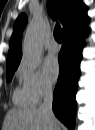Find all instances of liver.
Returning <instances> with one entry per match:
<instances>
[{
  "mask_svg": "<svg viewBox=\"0 0 95 130\" xmlns=\"http://www.w3.org/2000/svg\"><path fill=\"white\" fill-rule=\"evenodd\" d=\"M3 130H60L55 118L48 119L39 108L12 109L6 113Z\"/></svg>",
  "mask_w": 95,
  "mask_h": 130,
  "instance_id": "obj_1",
  "label": "liver"
}]
</instances>
